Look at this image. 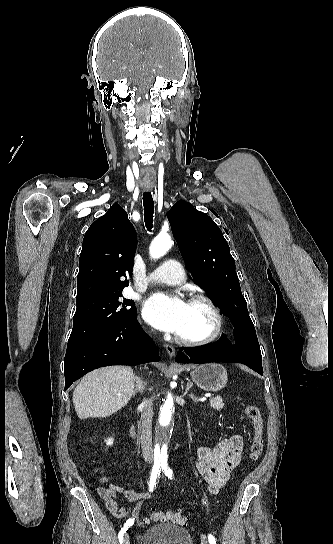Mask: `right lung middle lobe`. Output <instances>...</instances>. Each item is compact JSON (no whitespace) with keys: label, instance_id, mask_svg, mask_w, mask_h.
<instances>
[{"label":"right lung middle lobe","instance_id":"obj_1","mask_svg":"<svg viewBox=\"0 0 333 544\" xmlns=\"http://www.w3.org/2000/svg\"><path fill=\"white\" fill-rule=\"evenodd\" d=\"M71 346L98 333L120 326L137 315L133 300L122 297V290L97 293L76 299Z\"/></svg>","mask_w":333,"mask_h":544}]
</instances>
